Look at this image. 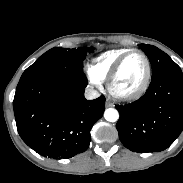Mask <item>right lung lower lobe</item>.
Here are the masks:
<instances>
[{"instance_id":"98d812e1","label":"right lung lower lobe","mask_w":183,"mask_h":183,"mask_svg":"<svg viewBox=\"0 0 183 183\" xmlns=\"http://www.w3.org/2000/svg\"><path fill=\"white\" fill-rule=\"evenodd\" d=\"M83 70L21 77L13 109L22 140L38 154L68 159L87 150L90 131L105 110V97L86 100Z\"/></svg>"}]
</instances>
